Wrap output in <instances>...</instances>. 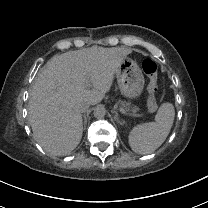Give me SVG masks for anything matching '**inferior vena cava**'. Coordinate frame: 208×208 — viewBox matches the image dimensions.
I'll return each instance as SVG.
<instances>
[{"label": "inferior vena cava", "mask_w": 208, "mask_h": 208, "mask_svg": "<svg viewBox=\"0 0 208 208\" xmlns=\"http://www.w3.org/2000/svg\"><path fill=\"white\" fill-rule=\"evenodd\" d=\"M89 106H90L89 102L87 100H83L79 103L78 110L80 112H85L88 110Z\"/></svg>", "instance_id": "inferior-vena-cava-1"}]
</instances>
